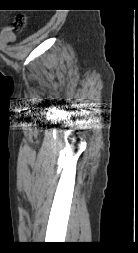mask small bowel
<instances>
[{
	"mask_svg": "<svg viewBox=\"0 0 138 253\" xmlns=\"http://www.w3.org/2000/svg\"><path fill=\"white\" fill-rule=\"evenodd\" d=\"M14 40H15V35L10 28L5 27L1 30L0 43L5 45V44L13 42Z\"/></svg>",
	"mask_w": 138,
	"mask_h": 253,
	"instance_id": "c3829d8e",
	"label": "small bowel"
}]
</instances>
